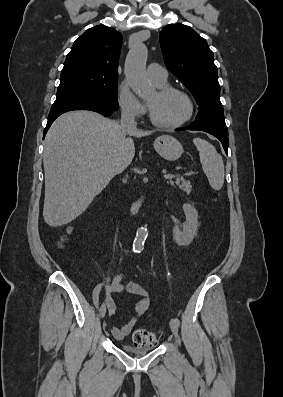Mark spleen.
Returning a JSON list of instances; mask_svg holds the SVG:
<instances>
[{"label":"spleen","mask_w":283,"mask_h":397,"mask_svg":"<svg viewBox=\"0 0 283 397\" xmlns=\"http://www.w3.org/2000/svg\"><path fill=\"white\" fill-rule=\"evenodd\" d=\"M193 143L199 151L202 169L214 190H220L224 184V164L221 155L208 141L194 138Z\"/></svg>","instance_id":"obj_1"}]
</instances>
